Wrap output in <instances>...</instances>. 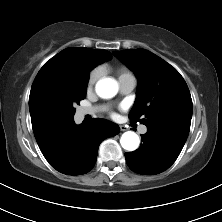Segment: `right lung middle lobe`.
I'll list each match as a JSON object with an SVG mask.
<instances>
[{"mask_svg": "<svg viewBox=\"0 0 222 222\" xmlns=\"http://www.w3.org/2000/svg\"><path fill=\"white\" fill-rule=\"evenodd\" d=\"M90 70L74 67L59 73L50 87L41 94L38 119L47 122L73 118L74 106L86 97Z\"/></svg>", "mask_w": 222, "mask_h": 222, "instance_id": "obj_1", "label": "right lung middle lobe"}]
</instances>
